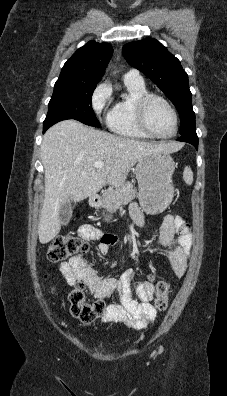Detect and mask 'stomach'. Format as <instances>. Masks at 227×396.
Returning <instances> with one entry per match:
<instances>
[{
    "instance_id": "obj_1",
    "label": "stomach",
    "mask_w": 227,
    "mask_h": 396,
    "mask_svg": "<svg viewBox=\"0 0 227 396\" xmlns=\"http://www.w3.org/2000/svg\"><path fill=\"white\" fill-rule=\"evenodd\" d=\"M174 170L175 163L165 152L149 154L137 162L135 175L139 187L138 199L146 213H161L172 202Z\"/></svg>"
}]
</instances>
